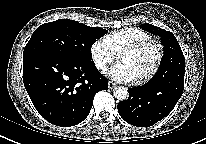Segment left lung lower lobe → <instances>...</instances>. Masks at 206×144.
I'll use <instances>...</instances> for the list:
<instances>
[{
  "instance_id": "0a47b994",
  "label": "left lung lower lobe",
  "mask_w": 206,
  "mask_h": 144,
  "mask_svg": "<svg viewBox=\"0 0 206 144\" xmlns=\"http://www.w3.org/2000/svg\"><path fill=\"white\" fill-rule=\"evenodd\" d=\"M184 68H173L160 80L129 88V97L118 103L120 116L137 127H150L167 116L183 93Z\"/></svg>"
}]
</instances>
